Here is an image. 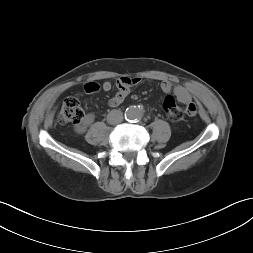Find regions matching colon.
<instances>
[{"mask_svg": "<svg viewBox=\"0 0 253 253\" xmlns=\"http://www.w3.org/2000/svg\"><path fill=\"white\" fill-rule=\"evenodd\" d=\"M163 110L166 117L172 122H180L184 119L181 114L182 108L176 103L175 99L167 96L163 102ZM84 111L81 103L76 97H68L64 100L58 113L60 124H76L81 121Z\"/></svg>", "mask_w": 253, "mask_h": 253, "instance_id": "5ec220e1", "label": "colon"}]
</instances>
